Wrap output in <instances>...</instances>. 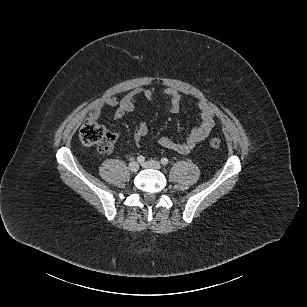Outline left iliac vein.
Masks as SVG:
<instances>
[{"mask_svg":"<svg viewBox=\"0 0 307 307\" xmlns=\"http://www.w3.org/2000/svg\"><path fill=\"white\" fill-rule=\"evenodd\" d=\"M142 167L144 168H150V169H161V164L156 160H149L142 164Z\"/></svg>","mask_w":307,"mask_h":307,"instance_id":"obj_1","label":"left iliac vein"}]
</instances>
